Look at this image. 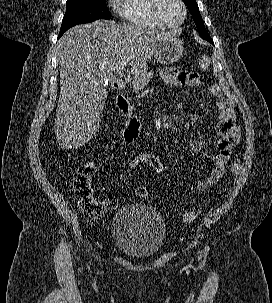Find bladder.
Here are the masks:
<instances>
[{
  "mask_svg": "<svg viewBox=\"0 0 272 303\" xmlns=\"http://www.w3.org/2000/svg\"><path fill=\"white\" fill-rule=\"evenodd\" d=\"M112 235L117 249L124 256L146 259L161 249L166 225L161 213L154 207L130 203L115 213Z\"/></svg>",
  "mask_w": 272,
  "mask_h": 303,
  "instance_id": "bladder-1",
  "label": "bladder"
}]
</instances>
